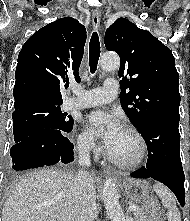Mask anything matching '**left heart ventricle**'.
<instances>
[{"label":"left heart ventricle","mask_w":190,"mask_h":221,"mask_svg":"<svg viewBox=\"0 0 190 221\" xmlns=\"http://www.w3.org/2000/svg\"><path fill=\"white\" fill-rule=\"evenodd\" d=\"M107 149L114 157L125 162L134 161L140 153L138 140L133 134L124 129H121Z\"/></svg>","instance_id":"left-heart-ventricle-1"}]
</instances>
